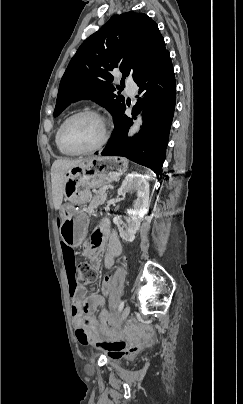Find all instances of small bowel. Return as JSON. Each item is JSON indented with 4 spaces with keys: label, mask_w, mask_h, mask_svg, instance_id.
<instances>
[{
    "label": "small bowel",
    "mask_w": 243,
    "mask_h": 404,
    "mask_svg": "<svg viewBox=\"0 0 243 404\" xmlns=\"http://www.w3.org/2000/svg\"><path fill=\"white\" fill-rule=\"evenodd\" d=\"M121 251V242L107 220L101 222L85 245V255L94 268H99L101 256H103L105 267L112 268ZM62 255L72 299L71 313L76 338L81 344H95L99 341L100 335L107 332L111 325V315L107 310L100 311L97 317L94 315L93 312L103 305L104 297L99 295L86 297L84 287L80 286L76 280L74 250L64 244Z\"/></svg>",
    "instance_id": "1"
}]
</instances>
